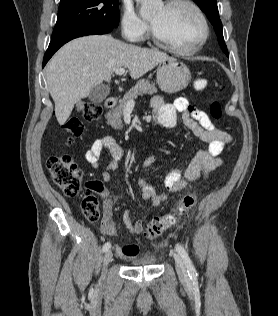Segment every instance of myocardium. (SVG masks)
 Returning a JSON list of instances; mask_svg holds the SVG:
<instances>
[{
  "mask_svg": "<svg viewBox=\"0 0 278 316\" xmlns=\"http://www.w3.org/2000/svg\"><path fill=\"white\" fill-rule=\"evenodd\" d=\"M180 4H184V5L191 7L195 11V13L197 14L198 18L200 19V22H201L202 27H203V35H202L201 40L195 46H193L191 48H182V47H179V46L171 43L170 41H168L164 37H162L157 32L155 26L152 23H150L151 38L155 44H157L161 47H164L166 49H169L175 53H178L181 55H192V54L199 52L207 43L209 36H210V26H209V23H208V20L206 18L205 13L201 9V7L193 0H166V2L164 3V5L166 7H173V6L180 5Z\"/></svg>",
  "mask_w": 278,
  "mask_h": 316,
  "instance_id": "f54148a6",
  "label": "myocardium"
}]
</instances>
